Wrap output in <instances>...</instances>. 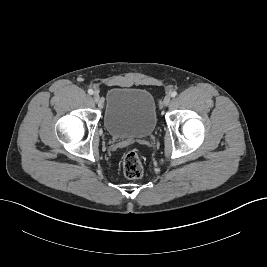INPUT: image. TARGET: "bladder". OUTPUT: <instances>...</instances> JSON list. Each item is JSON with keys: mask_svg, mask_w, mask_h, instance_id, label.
Wrapping results in <instances>:
<instances>
[{"mask_svg": "<svg viewBox=\"0 0 267 267\" xmlns=\"http://www.w3.org/2000/svg\"><path fill=\"white\" fill-rule=\"evenodd\" d=\"M103 123L114 138L150 136L157 123L153 95L142 88L112 87L106 94Z\"/></svg>", "mask_w": 267, "mask_h": 267, "instance_id": "bladder-1", "label": "bladder"}]
</instances>
